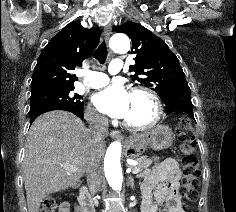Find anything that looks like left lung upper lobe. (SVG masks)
<instances>
[{
  "label": "left lung upper lobe",
  "instance_id": "obj_1",
  "mask_svg": "<svg viewBox=\"0 0 236 212\" xmlns=\"http://www.w3.org/2000/svg\"><path fill=\"white\" fill-rule=\"evenodd\" d=\"M132 40L131 53L135 54V72L131 78L151 87L162 101L180 89L189 88L176 55L166 43L141 24L128 21L115 28Z\"/></svg>",
  "mask_w": 236,
  "mask_h": 212
}]
</instances>
